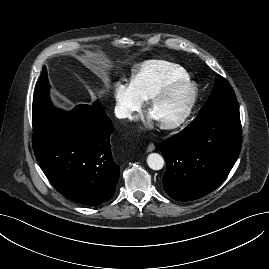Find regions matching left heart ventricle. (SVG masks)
<instances>
[{"label":"left heart ventricle","mask_w":269,"mask_h":269,"mask_svg":"<svg viewBox=\"0 0 269 269\" xmlns=\"http://www.w3.org/2000/svg\"><path fill=\"white\" fill-rule=\"evenodd\" d=\"M186 99V91H177L158 103L150 111V115L159 123L174 120L180 115Z\"/></svg>","instance_id":"left-heart-ventricle-1"}]
</instances>
